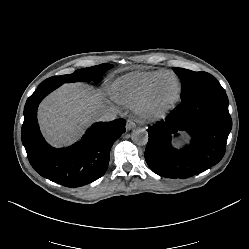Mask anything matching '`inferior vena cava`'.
Listing matches in <instances>:
<instances>
[{
	"label": "inferior vena cava",
	"instance_id": "1",
	"mask_svg": "<svg viewBox=\"0 0 249 249\" xmlns=\"http://www.w3.org/2000/svg\"><path fill=\"white\" fill-rule=\"evenodd\" d=\"M117 112L114 107L102 106L98 111L94 113V119L96 121L109 122L115 120Z\"/></svg>",
	"mask_w": 249,
	"mask_h": 249
}]
</instances>
